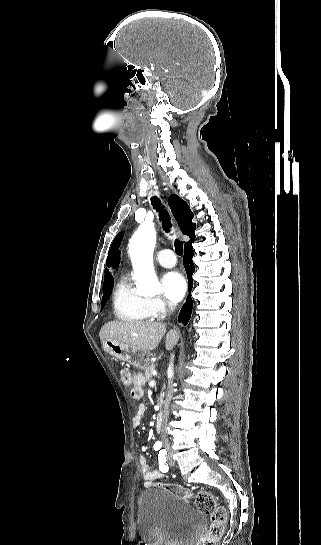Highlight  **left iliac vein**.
Wrapping results in <instances>:
<instances>
[{
    "mask_svg": "<svg viewBox=\"0 0 321 545\" xmlns=\"http://www.w3.org/2000/svg\"><path fill=\"white\" fill-rule=\"evenodd\" d=\"M167 461L170 466H173L175 464L170 453L167 454Z\"/></svg>",
    "mask_w": 321,
    "mask_h": 545,
    "instance_id": "obj_1",
    "label": "left iliac vein"
}]
</instances>
